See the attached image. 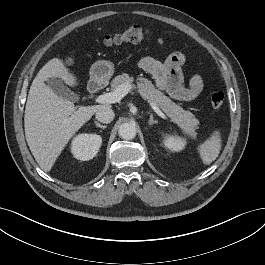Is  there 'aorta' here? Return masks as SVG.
Returning <instances> with one entry per match:
<instances>
[{"label": "aorta", "instance_id": "762f6f07", "mask_svg": "<svg viewBox=\"0 0 265 265\" xmlns=\"http://www.w3.org/2000/svg\"><path fill=\"white\" fill-rule=\"evenodd\" d=\"M119 136L125 140H131L136 136V127L132 123H123L119 127Z\"/></svg>", "mask_w": 265, "mask_h": 265}]
</instances>
